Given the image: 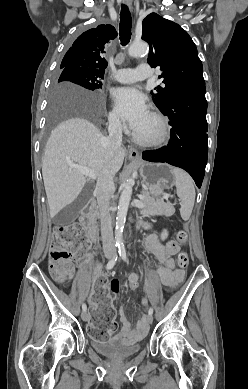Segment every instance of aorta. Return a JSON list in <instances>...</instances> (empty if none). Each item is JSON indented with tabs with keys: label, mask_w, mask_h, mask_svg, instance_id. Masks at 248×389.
I'll list each match as a JSON object with an SVG mask.
<instances>
[{
	"label": "aorta",
	"mask_w": 248,
	"mask_h": 389,
	"mask_svg": "<svg viewBox=\"0 0 248 389\" xmlns=\"http://www.w3.org/2000/svg\"><path fill=\"white\" fill-rule=\"evenodd\" d=\"M149 47L145 42L132 43L128 49V54L131 57H139L147 53ZM134 180L128 178L123 184V190L119 199L118 212L116 217V227H115V243L121 248L123 247V229L126 222L127 211L132 195V186Z\"/></svg>",
	"instance_id": "762f6f07"
}]
</instances>
